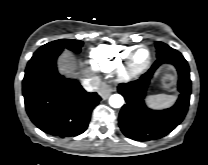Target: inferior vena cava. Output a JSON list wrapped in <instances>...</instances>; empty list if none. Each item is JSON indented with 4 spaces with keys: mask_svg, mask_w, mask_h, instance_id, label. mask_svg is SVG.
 <instances>
[{
    "mask_svg": "<svg viewBox=\"0 0 208 165\" xmlns=\"http://www.w3.org/2000/svg\"><path fill=\"white\" fill-rule=\"evenodd\" d=\"M83 86L89 92L97 90L100 86V79L98 77L85 79L83 81Z\"/></svg>",
    "mask_w": 208,
    "mask_h": 165,
    "instance_id": "inferior-vena-cava-1",
    "label": "inferior vena cava"
}]
</instances>
